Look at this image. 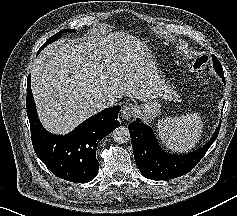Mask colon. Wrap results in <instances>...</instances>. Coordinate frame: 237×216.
Here are the masks:
<instances>
[{
	"label": "colon",
	"mask_w": 237,
	"mask_h": 216,
	"mask_svg": "<svg viewBox=\"0 0 237 216\" xmlns=\"http://www.w3.org/2000/svg\"><path fill=\"white\" fill-rule=\"evenodd\" d=\"M207 58L202 56L198 57L190 63V68L197 71L203 72L206 68Z\"/></svg>",
	"instance_id": "colon-1"
}]
</instances>
